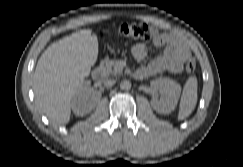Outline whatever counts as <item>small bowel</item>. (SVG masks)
I'll return each instance as SVG.
<instances>
[{"instance_id": "1", "label": "small bowel", "mask_w": 243, "mask_h": 167, "mask_svg": "<svg viewBox=\"0 0 243 167\" xmlns=\"http://www.w3.org/2000/svg\"><path fill=\"white\" fill-rule=\"evenodd\" d=\"M153 43L163 47L162 54L147 65H140L137 69L139 78H151L164 72L177 74L181 72L184 61L190 56L188 44L177 34L161 30L156 32ZM135 60L142 63L148 54V45L137 43L132 48Z\"/></svg>"}]
</instances>
